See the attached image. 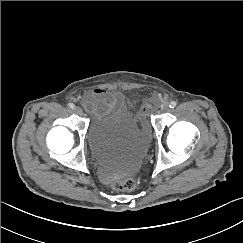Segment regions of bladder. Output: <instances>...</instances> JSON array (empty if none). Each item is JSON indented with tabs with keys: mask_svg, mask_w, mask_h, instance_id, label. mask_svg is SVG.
Segmentation results:
<instances>
[{
	"mask_svg": "<svg viewBox=\"0 0 243 243\" xmlns=\"http://www.w3.org/2000/svg\"><path fill=\"white\" fill-rule=\"evenodd\" d=\"M87 139L95 154L113 161L119 175L137 170L148 144V134L139 128L126 104L96 113L89 123Z\"/></svg>",
	"mask_w": 243,
	"mask_h": 243,
	"instance_id": "31cf9c89",
	"label": "bladder"
}]
</instances>
